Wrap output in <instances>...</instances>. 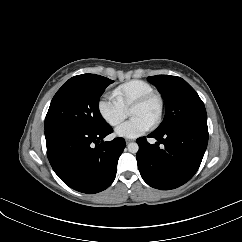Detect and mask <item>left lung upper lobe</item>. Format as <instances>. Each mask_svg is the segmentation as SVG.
<instances>
[{"instance_id":"1","label":"left lung upper lobe","mask_w":242,"mask_h":242,"mask_svg":"<svg viewBox=\"0 0 242 242\" xmlns=\"http://www.w3.org/2000/svg\"><path fill=\"white\" fill-rule=\"evenodd\" d=\"M147 79L161 92L166 105L164 120L155 132L162 133L187 122H207L204 103L185 80L170 75H156Z\"/></svg>"}]
</instances>
